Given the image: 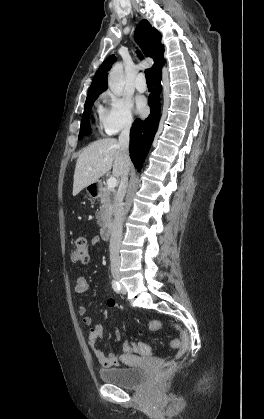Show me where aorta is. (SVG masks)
<instances>
[{
    "label": "aorta",
    "mask_w": 264,
    "mask_h": 419,
    "mask_svg": "<svg viewBox=\"0 0 264 419\" xmlns=\"http://www.w3.org/2000/svg\"><path fill=\"white\" fill-rule=\"evenodd\" d=\"M108 86L110 90L120 95L124 88V72L122 63H116L111 68L108 75Z\"/></svg>",
    "instance_id": "aorta-1"
}]
</instances>
